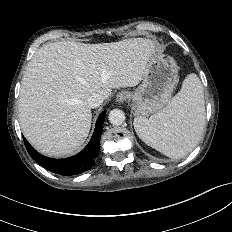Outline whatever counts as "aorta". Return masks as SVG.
I'll use <instances>...</instances> for the list:
<instances>
[{"label": "aorta", "mask_w": 232, "mask_h": 232, "mask_svg": "<svg viewBox=\"0 0 232 232\" xmlns=\"http://www.w3.org/2000/svg\"><path fill=\"white\" fill-rule=\"evenodd\" d=\"M109 121L113 125H122L125 121V113L120 109H113L109 113Z\"/></svg>", "instance_id": "1"}]
</instances>
